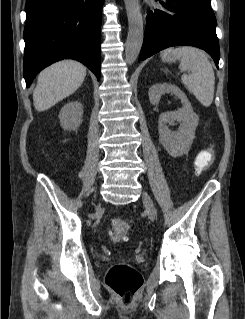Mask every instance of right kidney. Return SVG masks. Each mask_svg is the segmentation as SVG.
Wrapping results in <instances>:
<instances>
[{"label": "right kidney", "mask_w": 245, "mask_h": 319, "mask_svg": "<svg viewBox=\"0 0 245 319\" xmlns=\"http://www.w3.org/2000/svg\"><path fill=\"white\" fill-rule=\"evenodd\" d=\"M83 107L78 101H71L65 104L60 113L61 126L65 130H77L82 123Z\"/></svg>", "instance_id": "1"}]
</instances>
